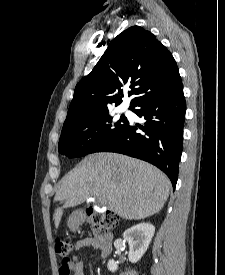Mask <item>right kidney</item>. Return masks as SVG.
Returning a JSON list of instances; mask_svg holds the SVG:
<instances>
[{"instance_id": "right-kidney-1", "label": "right kidney", "mask_w": 225, "mask_h": 275, "mask_svg": "<svg viewBox=\"0 0 225 275\" xmlns=\"http://www.w3.org/2000/svg\"><path fill=\"white\" fill-rule=\"evenodd\" d=\"M154 232L155 228L150 223L137 224L124 232L123 238L130 247L128 254L130 262L136 263L142 258L148 249ZM107 267L109 271L118 269V265L113 259L109 260Z\"/></svg>"}]
</instances>
